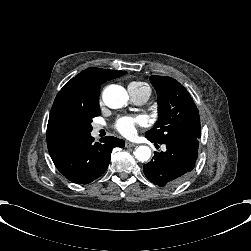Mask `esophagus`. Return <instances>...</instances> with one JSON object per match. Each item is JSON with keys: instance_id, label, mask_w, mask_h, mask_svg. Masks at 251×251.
I'll use <instances>...</instances> for the list:
<instances>
[{"instance_id": "34e87169", "label": "esophagus", "mask_w": 251, "mask_h": 251, "mask_svg": "<svg viewBox=\"0 0 251 251\" xmlns=\"http://www.w3.org/2000/svg\"><path fill=\"white\" fill-rule=\"evenodd\" d=\"M125 146H126L127 148H131V147L137 146V144L132 143V142H126V143H125Z\"/></svg>"}]
</instances>
